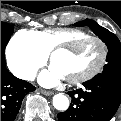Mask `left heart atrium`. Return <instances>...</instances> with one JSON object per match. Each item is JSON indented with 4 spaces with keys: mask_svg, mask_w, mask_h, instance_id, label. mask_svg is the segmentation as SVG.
<instances>
[{
    "mask_svg": "<svg viewBox=\"0 0 121 121\" xmlns=\"http://www.w3.org/2000/svg\"><path fill=\"white\" fill-rule=\"evenodd\" d=\"M63 78V75L52 66L39 75V82L43 86L52 87L58 85Z\"/></svg>",
    "mask_w": 121,
    "mask_h": 121,
    "instance_id": "left-heart-atrium-1",
    "label": "left heart atrium"
}]
</instances>
